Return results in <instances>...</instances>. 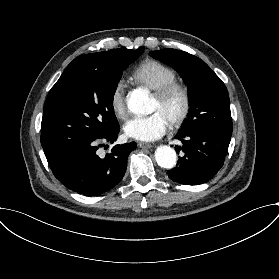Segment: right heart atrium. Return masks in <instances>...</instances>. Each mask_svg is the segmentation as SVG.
<instances>
[{"instance_id": "1", "label": "right heart atrium", "mask_w": 279, "mask_h": 279, "mask_svg": "<svg viewBox=\"0 0 279 279\" xmlns=\"http://www.w3.org/2000/svg\"><path fill=\"white\" fill-rule=\"evenodd\" d=\"M125 96L126 84L123 79H120L115 83L109 95V107L114 116L119 120H123L127 114Z\"/></svg>"}]
</instances>
